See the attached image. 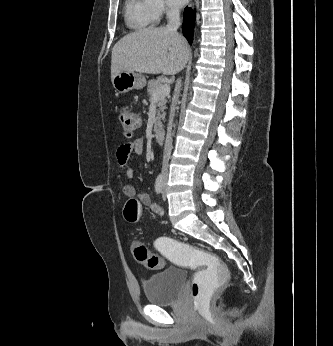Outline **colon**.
I'll list each match as a JSON object with an SVG mask.
<instances>
[{
	"instance_id": "1",
	"label": "colon",
	"mask_w": 333,
	"mask_h": 346,
	"mask_svg": "<svg viewBox=\"0 0 333 346\" xmlns=\"http://www.w3.org/2000/svg\"><path fill=\"white\" fill-rule=\"evenodd\" d=\"M119 119L124 136L131 138L139 127L137 114L128 107H121ZM123 213L128 223H136L140 215V202L134 198L128 200ZM156 237L158 241L152 245V250L157 251V254L150 252L145 244L132 241L131 249L135 260L146 268L155 270L164 268L165 261L160 257L164 256L174 268L197 271L190 289L192 311L195 315H200L202 310H209L210 299H213V294H217V288H226L231 279L230 269H227V264H223V257L196 249L193 244H183L182 240H173L172 235L158 233Z\"/></svg>"
}]
</instances>
